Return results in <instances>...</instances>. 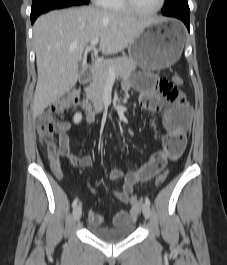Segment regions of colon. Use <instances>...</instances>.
<instances>
[{
	"label": "colon",
	"instance_id": "colon-1",
	"mask_svg": "<svg viewBox=\"0 0 227 265\" xmlns=\"http://www.w3.org/2000/svg\"><path fill=\"white\" fill-rule=\"evenodd\" d=\"M183 84V79L179 75H174L172 77L173 86H181ZM79 99V89H74L69 93L63 95L52 103L47 109L39 114L37 118V130L40 142L48 148V150L53 149L55 144L53 142L54 134V121L55 116L66 108L74 105ZM168 177V172L165 171L161 173L156 179V185L161 186L165 183ZM131 205L135 210L138 209L140 205V198L138 196L131 197Z\"/></svg>",
	"mask_w": 227,
	"mask_h": 265
}]
</instances>
